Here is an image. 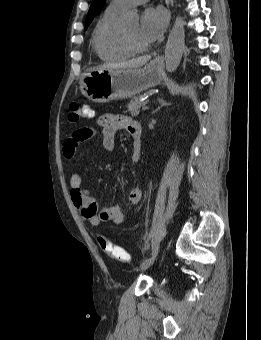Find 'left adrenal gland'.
Masks as SVG:
<instances>
[{"label": "left adrenal gland", "instance_id": "1", "mask_svg": "<svg viewBox=\"0 0 261 340\" xmlns=\"http://www.w3.org/2000/svg\"><path fill=\"white\" fill-rule=\"evenodd\" d=\"M158 102H159L160 106L158 107V109H157V110H160V109H161V107H164V106H169V105L171 104V103H169V102L165 101L164 99H158Z\"/></svg>", "mask_w": 261, "mask_h": 340}]
</instances>
